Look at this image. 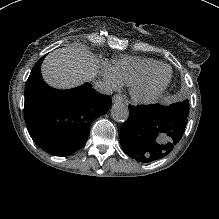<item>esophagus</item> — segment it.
Returning <instances> with one entry per match:
<instances>
[{"mask_svg": "<svg viewBox=\"0 0 219 219\" xmlns=\"http://www.w3.org/2000/svg\"><path fill=\"white\" fill-rule=\"evenodd\" d=\"M112 101L113 103H116V102H123L124 99L121 95L119 94H115L113 97H112Z\"/></svg>", "mask_w": 219, "mask_h": 219, "instance_id": "34e87169", "label": "esophagus"}]
</instances>
